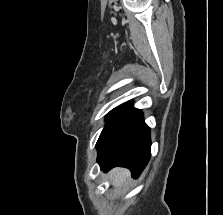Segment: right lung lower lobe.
<instances>
[{
  "instance_id": "1",
  "label": "right lung lower lobe",
  "mask_w": 223,
  "mask_h": 215,
  "mask_svg": "<svg viewBox=\"0 0 223 215\" xmlns=\"http://www.w3.org/2000/svg\"><path fill=\"white\" fill-rule=\"evenodd\" d=\"M150 148V129L143 113L134 109L97 148V162L105 172L121 166L137 178L150 159Z\"/></svg>"
}]
</instances>
